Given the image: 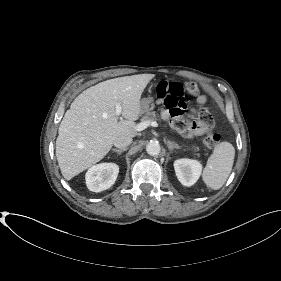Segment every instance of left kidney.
Instances as JSON below:
<instances>
[{
	"label": "left kidney",
	"instance_id": "left-kidney-1",
	"mask_svg": "<svg viewBox=\"0 0 281 281\" xmlns=\"http://www.w3.org/2000/svg\"><path fill=\"white\" fill-rule=\"evenodd\" d=\"M174 169L181 184L189 187L194 185L199 179L202 165L197 160L183 158L175 160Z\"/></svg>",
	"mask_w": 281,
	"mask_h": 281
}]
</instances>
